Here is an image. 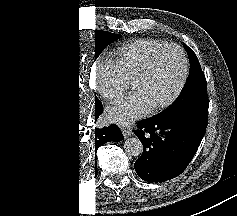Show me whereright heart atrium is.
<instances>
[{
    "mask_svg": "<svg viewBox=\"0 0 237 216\" xmlns=\"http://www.w3.org/2000/svg\"><path fill=\"white\" fill-rule=\"evenodd\" d=\"M123 75L117 65L103 62L98 66L95 88L101 95H117L122 90Z\"/></svg>",
    "mask_w": 237,
    "mask_h": 216,
    "instance_id": "obj_1",
    "label": "right heart atrium"
}]
</instances>
